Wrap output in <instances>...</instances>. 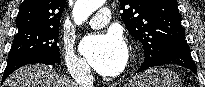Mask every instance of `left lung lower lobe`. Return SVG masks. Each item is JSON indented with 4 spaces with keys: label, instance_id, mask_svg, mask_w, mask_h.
I'll use <instances>...</instances> for the list:
<instances>
[{
    "label": "left lung lower lobe",
    "instance_id": "left-lung-lower-lobe-1",
    "mask_svg": "<svg viewBox=\"0 0 205 87\" xmlns=\"http://www.w3.org/2000/svg\"><path fill=\"white\" fill-rule=\"evenodd\" d=\"M164 64H177L197 73L195 63L190 55V48L185 40L176 42L169 46L166 52L155 63H143L137 72L146 70L152 66Z\"/></svg>",
    "mask_w": 205,
    "mask_h": 87
}]
</instances>
